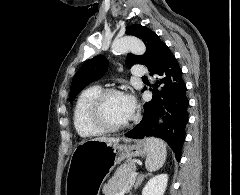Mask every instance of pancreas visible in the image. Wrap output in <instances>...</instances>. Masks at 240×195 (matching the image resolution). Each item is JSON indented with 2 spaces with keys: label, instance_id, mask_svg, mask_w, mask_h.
I'll return each instance as SVG.
<instances>
[{
  "label": "pancreas",
  "instance_id": "pancreas-1",
  "mask_svg": "<svg viewBox=\"0 0 240 195\" xmlns=\"http://www.w3.org/2000/svg\"><path fill=\"white\" fill-rule=\"evenodd\" d=\"M135 169V161L127 159L125 163L117 167L113 177L109 179L108 183H104L102 189L103 193H105V195H116V193L123 191L129 181L131 173H133Z\"/></svg>",
  "mask_w": 240,
  "mask_h": 195
}]
</instances>
